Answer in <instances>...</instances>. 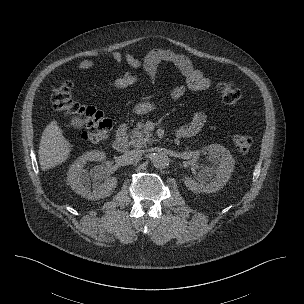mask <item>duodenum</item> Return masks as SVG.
I'll return each instance as SVG.
<instances>
[{
	"label": "duodenum",
	"mask_w": 304,
	"mask_h": 304,
	"mask_svg": "<svg viewBox=\"0 0 304 304\" xmlns=\"http://www.w3.org/2000/svg\"><path fill=\"white\" fill-rule=\"evenodd\" d=\"M128 127L126 124H122L117 129L116 137L113 143V147L118 152H125L128 149V137H127ZM178 138H182L177 133Z\"/></svg>",
	"instance_id": "410a0bca"
}]
</instances>
